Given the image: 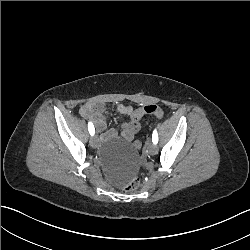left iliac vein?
<instances>
[{
	"label": "left iliac vein",
	"mask_w": 250,
	"mask_h": 250,
	"mask_svg": "<svg viewBox=\"0 0 250 250\" xmlns=\"http://www.w3.org/2000/svg\"><path fill=\"white\" fill-rule=\"evenodd\" d=\"M147 151L150 153V154H155L157 152V145L154 144V143H150L147 145Z\"/></svg>",
	"instance_id": "1"
}]
</instances>
